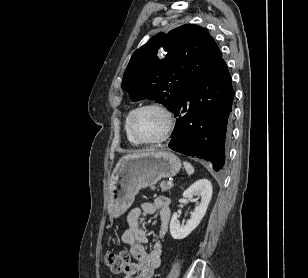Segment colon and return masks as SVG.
I'll return each instance as SVG.
<instances>
[{
	"instance_id": "obj_1",
	"label": "colon",
	"mask_w": 308,
	"mask_h": 278,
	"mask_svg": "<svg viewBox=\"0 0 308 278\" xmlns=\"http://www.w3.org/2000/svg\"><path fill=\"white\" fill-rule=\"evenodd\" d=\"M130 255L126 251L111 252L106 257V264L114 273H123L129 263Z\"/></svg>"
}]
</instances>
